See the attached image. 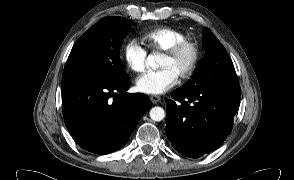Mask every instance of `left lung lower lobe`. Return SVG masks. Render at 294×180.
Returning <instances> with one entry per match:
<instances>
[{
  "label": "left lung lower lobe",
  "instance_id": "0a47b994",
  "mask_svg": "<svg viewBox=\"0 0 294 180\" xmlns=\"http://www.w3.org/2000/svg\"><path fill=\"white\" fill-rule=\"evenodd\" d=\"M166 102L165 133L175 150L198 158L218 148L230 134L241 98L239 86L178 88Z\"/></svg>",
  "mask_w": 294,
  "mask_h": 180
}]
</instances>
